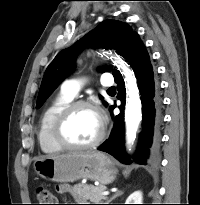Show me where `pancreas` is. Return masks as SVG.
Here are the masks:
<instances>
[{"label": "pancreas", "mask_w": 200, "mask_h": 205, "mask_svg": "<svg viewBox=\"0 0 200 205\" xmlns=\"http://www.w3.org/2000/svg\"><path fill=\"white\" fill-rule=\"evenodd\" d=\"M106 190L103 185L94 186L91 184H75L71 194L76 201H91L94 204L106 200V197L101 193Z\"/></svg>", "instance_id": "cf45deb5"}]
</instances>
